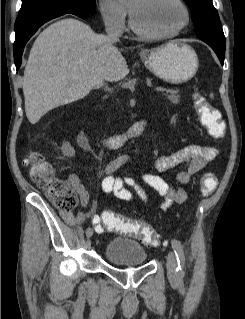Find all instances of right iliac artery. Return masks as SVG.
<instances>
[{"mask_svg":"<svg viewBox=\"0 0 245 319\" xmlns=\"http://www.w3.org/2000/svg\"><path fill=\"white\" fill-rule=\"evenodd\" d=\"M127 159H128L127 157L122 156L111 161L105 169L106 174H110L114 172L115 170H117L121 165H123L127 161ZM92 234H93V230L91 228H88L86 230V235H92Z\"/></svg>","mask_w":245,"mask_h":319,"instance_id":"1","label":"right iliac artery"}]
</instances>
